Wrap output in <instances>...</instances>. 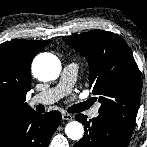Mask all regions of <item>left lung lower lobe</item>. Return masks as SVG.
I'll list each match as a JSON object with an SVG mask.
<instances>
[{
    "label": "left lung lower lobe",
    "instance_id": "0a47b994",
    "mask_svg": "<svg viewBox=\"0 0 147 147\" xmlns=\"http://www.w3.org/2000/svg\"><path fill=\"white\" fill-rule=\"evenodd\" d=\"M76 120L85 125L83 138L74 147H127L132 132L118 123L103 117L87 121V116L77 114Z\"/></svg>",
    "mask_w": 147,
    "mask_h": 147
}]
</instances>
